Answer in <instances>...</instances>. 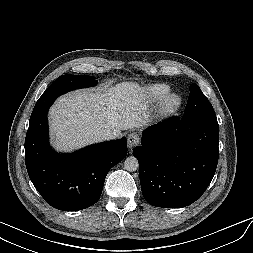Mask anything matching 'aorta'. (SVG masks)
Segmentation results:
<instances>
[{"label": "aorta", "instance_id": "1", "mask_svg": "<svg viewBox=\"0 0 253 253\" xmlns=\"http://www.w3.org/2000/svg\"><path fill=\"white\" fill-rule=\"evenodd\" d=\"M124 167L129 172L136 171L139 167V163H138L137 158L134 156L127 157L124 162Z\"/></svg>", "mask_w": 253, "mask_h": 253}]
</instances>
